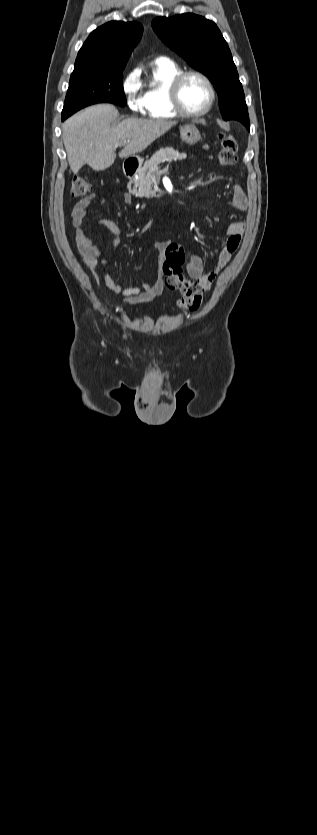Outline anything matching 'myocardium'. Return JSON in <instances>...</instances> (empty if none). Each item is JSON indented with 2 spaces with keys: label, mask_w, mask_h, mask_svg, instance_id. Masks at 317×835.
I'll use <instances>...</instances> for the list:
<instances>
[{
  "label": "myocardium",
  "mask_w": 317,
  "mask_h": 835,
  "mask_svg": "<svg viewBox=\"0 0 317 835\" xmlns=\"http://www.w3.org/2000/svg\"><path fill=\"white\" fill-rule=\"evenodd\" d=\"M189 76H197L200 79H202L206 83L210 92V98L206 107L199 112L187 111L181 101V89L185 80ZM169 95L173 108L180 116L185 118H198L206 115L212 109L216 99V90L212 80L205 73L198 70H185L181 71L177 76L173 78L169 88Z\"/></svg>",
  "instance_id": "myocardium-1"
}]
</instances>
